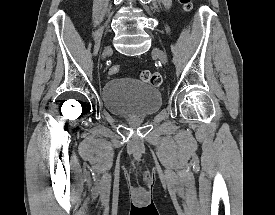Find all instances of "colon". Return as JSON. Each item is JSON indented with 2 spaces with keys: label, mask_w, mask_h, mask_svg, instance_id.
<instances>
[{
  "label": "colon",
  "mask_w": 275,
  "mask_h": 215,
  "mask_svg": "<svg viewBox=\"0 0 275 215\" xmlns=\"http://www.w3.org/2000/svg\"><path fill=\"white\" fill-rule=\"evenodd\" d=\"M182 8L186 11H189L192 8V3L190 0H179ZM119 72V66L112 64L109 67L108 73L110 75H116ZM141 79L147 82L153 87H158L162 83V76L158 72H153L150 70H144L141 72Z\"/></svg>",
  "instance_id": "5ec220e1"
}]
</instances>
